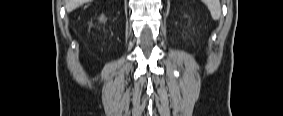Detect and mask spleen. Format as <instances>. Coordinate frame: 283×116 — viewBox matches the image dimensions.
Listing matches in <instances>:
<instances>
[{
  "mask_svg": "<svg viewBox=\"0 0 283 116\" xmlns=\"http://www.w3.org/2000/svg\"><path fill=\"white\" fill-rule=\"evenodd\" d=\"M205 4L209 9L212 18L214 20H219L221 17V5L219 0H206Z\"/></svg>",
  "mask_w": 283,
  "mask_h": 116,
  "instance_id": "3e777b00",
  "label": "spleen"
}]
</instances>
